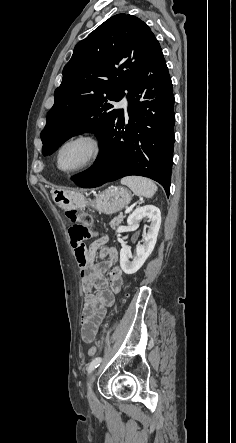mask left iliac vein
Segmentation results:
<instances>
[{"label":"left iliac vein","mask_w":236,"mask_h":443,"mask_svg":"<svg viewBox=\"0 0 236 443\" xmlns=\"http://www.w3.org/2000/svg\"><path fill=\"white\" fill-rule=\"evenodd\" d=\"M94 381H95V374H92V376L89 379V384H88L89 387L93 386ZM88 400H89V405H90L91 410L93 412H95L97 410V402H96L95 397L92 393L88 394Z\"/></svg>","instance_id":"left-iliac-vein-1"}]
</instances>
